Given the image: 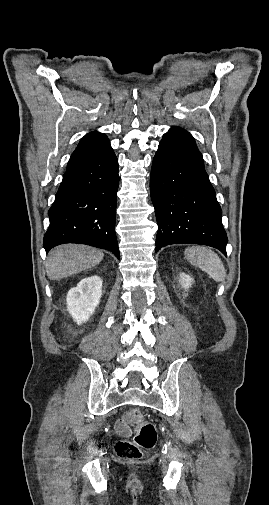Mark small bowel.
<instances>
[{"mask_svg": "<svg viewBox=\"0 0 269 505\" xmlns=\"http://www.w3.org/2000/svg\"><path fill=\"white\" fill-rule=\"evenodd\" d=\"M130 413L116 423V430L119 434L127 436L131 433Z\"/></svg>", "mask_w": 269, "mask_h": 505, "instance_id": "obj_1", "label": "small bowel"}]
</instances>
